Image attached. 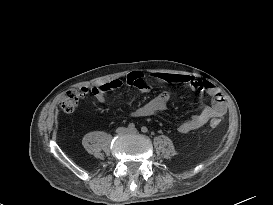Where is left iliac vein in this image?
Masks as SVG:
<instances>
[{"label":"left iliac vein","instance_id":"obj_1","mask_svg":"<svg viewBox=\"0 0 273 205\" xmlns=\"http://www.w3.org/2000/svg\"><path fill=\"white\" fill-rule=\"evenodd\" d=\"M128 133H137V129H129L128 131H127Z\"/></svg>","mask_w":273,"mask_h":205}]
</instances>
